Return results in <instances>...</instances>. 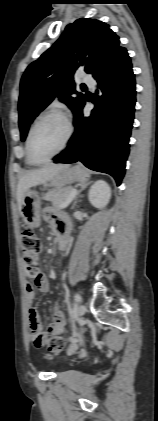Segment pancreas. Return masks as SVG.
<instances>
[{"label":"pancreas","mask_w":158,"mask_h":421,"mask_svg":"<svg viewBox=\"0 0 158 421\" xmlns=\"http://www.w3.org/2000/svg\"><path fill=\"white\" fill-rule=\"evenodd\" d=\"M72 187L50 190L44 195V200L50 201L54 207L60 208L68 199Z\"/></svg>","instance_id":"1"}]
</instances>
